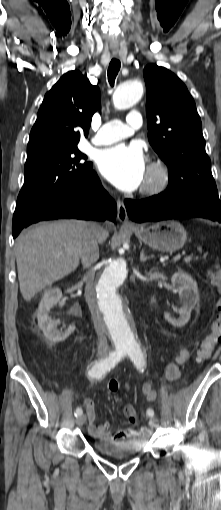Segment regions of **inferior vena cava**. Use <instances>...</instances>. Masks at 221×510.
<instances>
[{"instance_id":"obj_1","label":"inferior vena cava","mask_w":221,"mask_h":510,"mask_svg":"<svg viewBox=\"0 0 221 510\" xmlns=\"http://www.w3.org/2000/svg\"><path fill=\"white\" fill-rule=\"evenodd\" d=\"M101 232L102 228L99 225L94 222L89 223V227L86 231L83 242L78 249V256L81 258L83 267L88 269V272L85 275V296L98 336L97 349L99 352H107L109 347L105 336V327L99 316L97 301L95 297V272L92 268L93 264L99 258L98 239Z\"/></svg>"}]
</instances>
